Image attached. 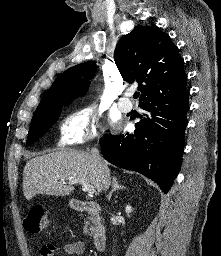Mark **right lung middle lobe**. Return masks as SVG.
Masks as SVG:
<instances>
[{"mask_svg": "<svg viewBox=\"0 0 221 256\" xmlns=\"http://www.w3.org/2000/svg\"><path fill=\"white\" fill-rule=\"evenodd\" d=\"M71 102L69 99L58 98L37 107L31 120L27 138V145H30L40 138L53 125L61 113V108Z\"/></svg>", "mask_w": 221, "mask_h": 256, "instance_id": "obj_1", "label": "right lung middle lobe"}]
</instances>
